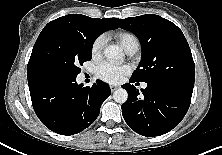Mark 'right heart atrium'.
Listing matches in <instances>:
<instances>
[{"mask_svg": "<svg viewBox=\"0 0 222 155\" xmlns=\"http://www.w3.org/2000/svg\"><path fill=\"white\" fill-rule=\"evenodd\" d=\"M105 46V37L104 36H98L91 47V55L94 59H99L101 54H102V50Z\"/></svg>", "mask_w": 222, "mask_h": 155, "instance_id": "1", "label": "right heart atrium"}]
</instances>
